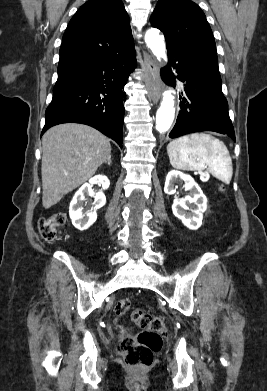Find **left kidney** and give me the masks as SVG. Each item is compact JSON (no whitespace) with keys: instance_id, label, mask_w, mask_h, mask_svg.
Instances as JSON below:
<instances>
[{"instance_id":"left-kidney-1","label":"left kidney","mask_w":267,"mask_h":391,"mask_svg":"<svg viewBox=\"0 0 267 391\" xmlns=\"http://www.w3.org/2000/svg\"><path fill=\"white\" fill-rule=\"evenodd\" d=\"M184 181L185 190L190 191V195L179 199L175 197L172 211L182 223L191 230L198 229L202 224L203 213L207 209V198L194 179L177 170H171L166 177L164 192L169 195L176 193L175 182ZM191 204V209L188 207ZM190 210V212H187Z\"/></svg>"}]
</instances>
